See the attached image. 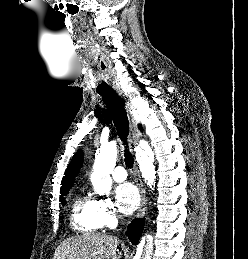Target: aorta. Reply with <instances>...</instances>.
<instances>
[{"label": "aorta", "mask_w": 248, "mask_h": 259, "mask_svg": "<svg viewBox=\"0 0 248 259\" xmlns=\"http://www.w3.org/2000/svg\"><path fill=\"white\" fill-rule=\"evenodd\" d=\"M136 160L139 164L142 177L151 187L155 184V166L154 153L147 143L136 148ZM117 158V146L115 142H110L101 146L98 155L95 158L93 173L91 174V182L95 192L100 195L108 194L112 187L110 174L114 169ZM153 243L150 237L144 252L138 249L136 258L134 259H152Z\"/></svg>", "instance_id": "1"}]
</instances>
